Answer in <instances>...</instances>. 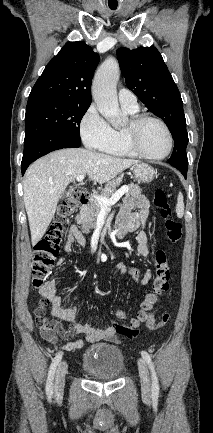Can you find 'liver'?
Returning a JSON list of instances; mask_svg holds the SVG:
<instances>
[{
	"mask_svg": "<svg viewBox=\"0 0 213 433\" xmlns=\"http://www.w3.org/2000/svg\"><path fill=\"white\" fill-rule=\"evenodd\" d=\"M84 148L54 151L30 165L23 183L24 204L31 232L32 245L45 234L65 188L78 175L87 174L100 184L138 164Z\"/></svg>",
	"mask_w": 213,
	"mask_h": 433,
	"instance_id": "6515ba94",
	"label": "liver"
}]
</instances>
